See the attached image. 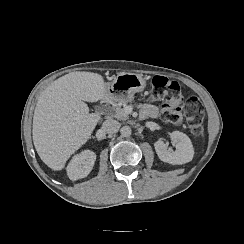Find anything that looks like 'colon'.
I'll return each mask as SVG.
<instances>
[{
  "mask_svg": "<svg viewBox=\"0 0 244 244\" xmlns=\"http://www.w3.org/2000/svg\"><path fill=\"white\" fill-rule=\"evenodd\" d=\"M152 100L167 101L164 111L173 118L174 124L182 123L181 113L187 119L191 133L199 136L203 130L204 106L196 97H189L186 101L180 98V87L176 81L162 76H154L152 79Z\"/></svg>",
  "mask_w": 244,
  "mask_h": 244,
  "instance_id": "colon-1",
  "label": "colon"
}]
</instances>
